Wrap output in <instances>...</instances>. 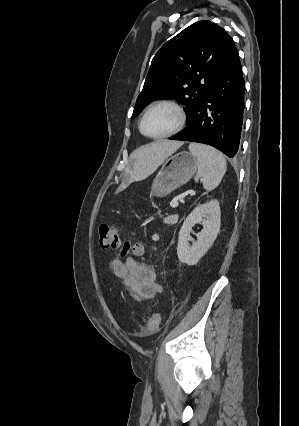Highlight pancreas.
Listing matches in <instances>:
<instances>
[{
    "instance_id": "cf45deb5",
    "label": "pancreas",
    "mask_w": 299,
    "mask_h": 426,
    "mask_svg": "<svg viewBox=\"0 0 299 426\" xmlns=\"http://www.w3.org/2000/svg\"><path fill=\"white\" fill-rule=\"evenodd\" d=\"M176 222H177V219L174 216H168V217L164 218L165 224H174Z\"/></svg>"
}]
</instances>
